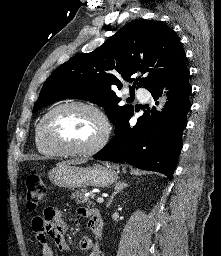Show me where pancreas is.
<instances>
[{"instance_id":"obj_1","label":"pancreas","mask_w":221,"mask_h":256,"mask_svg":"<svg viewBox=\"0 0 221 256\" xmlns=\"http://www.w3.org/2000/svg\"><path fill=\"white\" fill-rule=\"evenodd\" d=\"M84 192L85 190L75 191L74 193H72V199H75V202L77 204H87L95 206V203L92 202L93 196L85 197Z\"/></svg>"}]
</instances>
